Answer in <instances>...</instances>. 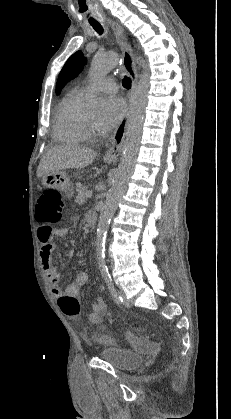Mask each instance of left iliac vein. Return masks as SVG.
Instances as JSON below:
<instances>
[{"instance_id": "4c4485c4", "label": "left iliac vein", "mask_w": 231, "mask_h": 419, "mask_svg": "<svg viewBox=\"0 0 231 419\" xmlns=\"http://www.w3.org/2000/svg\"><path fill=\"white\" fill-rule=\"evenodd\" d=\"M120 294H121V296H122V298H123V304H124L126 307H131V303H130V301L126 298L125 294H124L123 292H121Z\"/></svg>"}]
</instances>
